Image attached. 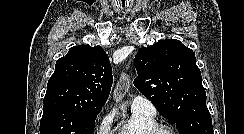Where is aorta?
Listing matches in <instances>:
<instances>
[{
	"instance_id": "1",
	"label": "aorta",
	"mask_w": 244,
	"mask_h": 134,
	"mask_svg": "<svg viewBox=\"0 0 244 134\" xmlns=\"http://www.w3.org/2000/svg\"><path fill=\"white\" fill-rule=\"evenodd\" d=\"M123 79H126V76H122ZM123 95L122 94H119L117 97H116V101H120L122 99ZM123 115H124V111H123Z\"/></svg>"
}]
</instances>
